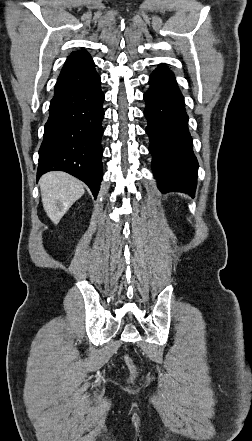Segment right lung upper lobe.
<instances>
[{
	"mask_svg": "<svg viewBox=\"0 0 252 441\" xmlns=\"http://www.w3.org/2000/svg\"><path fill=\"white\" fill-rule=\"evenodd\" d=\"M91 60V56L85 50L75 51L67 58L61 73Z\"/></svg>",
	"mask_w": 252,
	"mask_h": 441,
	"instance_id": "right-lung-upper-lobe-1",
	"label": "right lung upper lobe"
}]
</instances>
